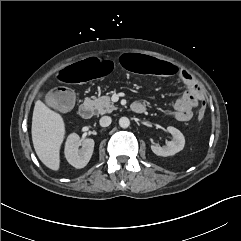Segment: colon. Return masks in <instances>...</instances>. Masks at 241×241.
Instances as JSON below:
<instances>
[{"instance_id": "5ec220e1", "label": "colon", "mask_w": 241, "mask_h": 241, "mask_svg": "<svg viewBox=\"0 0 241 241\" xmlns=\"http://www.w3.org/2000/svg\"><path fill=\"white\" fill-rule=\"evenodd\" d=\"M120 65L133 73H151L156 76L177 77L180 69L170 60L158 56H143L132 52H125L120 57ZM116 70L115 63L109 58L93 57L80 63L64 66L59 72V79L64 84L80 86L88 81H100L111 76ZM49 103L59 110L68 109L74 101L71 90L58 88L48 95ZM205 116V106L198 112V119Z\"/></svg>"}]
</instances>
